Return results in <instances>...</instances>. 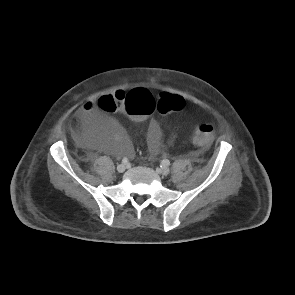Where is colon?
Returning a JSON list of instances; mask_svg holds the SVG:
<instances>
[{
    "label": "colon",
    "mask_w": 295,
    "mask_h": 295,
    "mask_svg": "<svg viewBox=\"0 0 295 295\" xmlns=\"http://www.w3.org/2000/svg\"><path fill=\"white\" fill-rule=\"evenodd\" d=\"M98 107L107 112L122 111L124 121L136 129L147 127L151 121L152 113L158 110L169 113L181 110L184 99L178 95L158 94L153 95L143 89H136L129 93L117 92L114 95L101 97L97 102ZM214 128L209 123L197 125L193 142L199 146H206L213 139Z\"/></svg>",
    "instance_id": "5ec220e1"
}]
</instances>
